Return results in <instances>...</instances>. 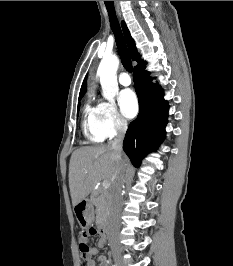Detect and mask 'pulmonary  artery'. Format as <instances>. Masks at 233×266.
<instances>
[{
    "label": "pulmonary artery",
    "instance_id": "obj_1",
    "mask_svg": "<svg viewBox=\"0 0 233 266\" xmlns=\"http://www.w3.org/2000/svg\"><path fill=\"white\" fill-rule=\"evenodd\" d=\"M118 81L123 86H129L131 84V78L126 72H122L118 76Z\"/></svg>",
    "mask_w": 233,
    "mask_h": 266
}]
</instances>
